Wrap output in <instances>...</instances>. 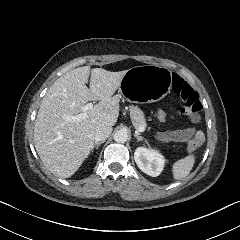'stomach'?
Instances as JSON below:
<instances>
[{
  "mask_svg": "<svg viewBox=\"0 0 240 240\" xmlns=\"http://www.w3.org/2000/svg\"><path fill=\"white\" fill-rule=\"evenodd\" d=\"M171 88V73L154 65L128 69L119 86L120 94L130 103H153L163 99Z\"/></svg>",
  "mask_w": 240,
  "mask_h": 240,
  "instance_id": "0dacf381",
  "label": "stomach"
}]
</instances>
